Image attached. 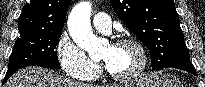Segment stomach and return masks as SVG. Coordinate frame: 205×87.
Wrapping results in <instances>:
<instances>
[{
  "label": "stomach",
  "instance_id": "stomach-1",
  "mask_svg": "<svg viewBox=\"0 0 205 87\" xmlns=\"http://www.w3.org/2000/svg\"><path fill=\"white\" fill-rule=\"evenodd\" d=\"M125 87H179V82L172 75L154 72L140 76Z\"/></svg>",
  "mask_w": 205,
  "mask_h": 87
}]
</instances>
